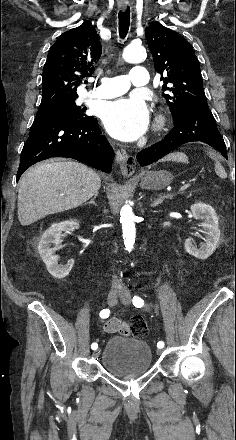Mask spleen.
Segmentation results:
<instances>
[{
  "mask_svg": "<svg viewBox=\"0 0 236 440\" xmlns=\"http://www.w3.org/2000/svg\"><path fill=\"white\" fill-rule=\"evenodd\" d=\"M215 171L219 177H221L223 179H225L227 177V174H226L224 168L218 162H216V164H215Z\"/></svg>",
  "mask_w": 236,
  "mask_h": 440,
  "instance_id": "3e777b00",
  "label": "spleen"
}]
</instances>
